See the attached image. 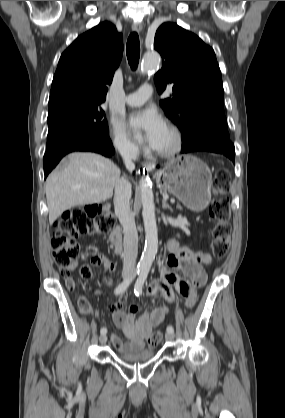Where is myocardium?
I'll use <instances>...</instances> for the list:
<instances>
[{"label": "myocardium", "instance_id": "obj_1", "mask_svg": "<svg viewBox=\"0 0 285 418\" xmlns=\"http://www.w3.org/2000/svg\"><path fill=\"white\" fill-rule=\"evenodd\" d=\"M167 130L169 131V133L172 136V142L169 146L164 147V148H158L156 147L155 152L156 154H158L161 157H172L175 154H177L182 147V143H183V136H182V132L181 130L173 125V124H169L167 127Z\"/></svg>", "mask_w": 285, "mask_h": 418}]
</instances>
